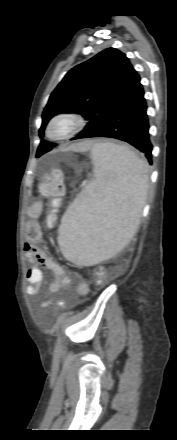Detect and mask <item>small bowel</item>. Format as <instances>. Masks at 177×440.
Listing matches in <instances>:
<instances>
[{
    "label": "small bowel",
    "instance_id": "c3829d8e",
    "mask_svg": "<svg viewBox=\"0 0 177 440\" xmlns=\"http://www.w3.org/2000/svg\"><path fill=\"white\" fill-rule=\"evenodd\" d=\"M27 213L30 221L27 225L28 243L25 245V258L30 266L27 269L26 278L28 281L27 293L37 294L39 287L46 285L45 294H53L69 286L71 279L65 273L63 267L57 263L43 248L41 241V230L39 220L44 213V205L40 201L34 202L28 207ZM42 266L53 273L54 281L47 284V279L40 269ZM76 294L85 296L89 292V285L85 281H78L76 284ZM53 304L52 300H46L40 304V308H47Z\"/></svg>",
    "mask_w": 177,
    "mask_h": 440
}]
</instances>
